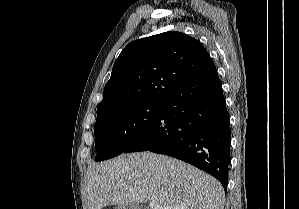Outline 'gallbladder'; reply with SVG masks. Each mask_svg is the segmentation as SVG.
I'll list each match as a JSON object with an SVG mask.
<instances>
[{
	"mask_svg": "<svg viewBox=\"0 0 299 209\" xmlns=\"http://www.w3.org/2000/svg\"><path fill=\"white\" fill-rule=\"evenodd\" d=\"M114 209H141V207L135 203H123L117 205Z\"/></svg>",
	"mask_w": 299,
	"mask_h": 209,
	"instance_id": "1",
	"label": "gallbladder"
}]
</instances>
